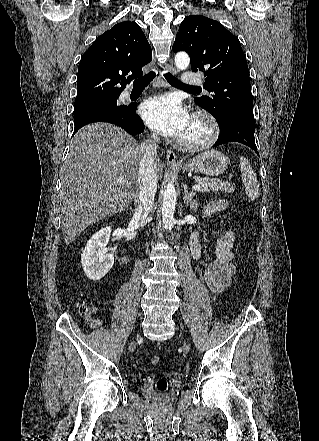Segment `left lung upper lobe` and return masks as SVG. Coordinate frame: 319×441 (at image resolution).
<instances>
[{
  "mask_svg": "<svg viewBox=\"0 0 319 441\" xmlns=\"http://www.w3.org/2000/svg\"><path fill=\"white\" fill-rule=\"evenodd\" d=\"M173 51L187 52L192 71H204L211 95L194 100L219 126L231 118L255 123L247 61L237 37L215 20L190 15L179 26Z\"/></svg>",
  "mask_w": 319,
  "mask_h": 441,
  "instance_id": "left-lung-upper-lobe-1",
  "label": "left lung upper lobe"
}]
</instances>
